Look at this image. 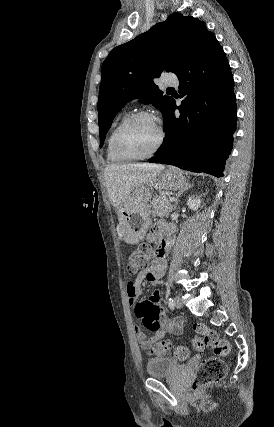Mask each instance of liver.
I'll return each instance as SVG.
<instances>
[{"label":"liver","instance_id":"1","mask_svg":"<svg viewBox=\"0 0 274 427\" xmlns=\"http://www.w3.org/2000/svg\"><path fill=\"white\" fill-rule=\"evenodd\" d=\"M165 166L161 164H124V166H106L104 180L106 182L107 196L113 208L129 206L134 196V190L143 184H150L156 180Z\"/></svg>","mask_w":274,"mask_h":427}]
</instances>
